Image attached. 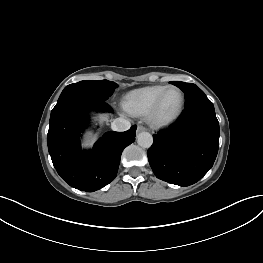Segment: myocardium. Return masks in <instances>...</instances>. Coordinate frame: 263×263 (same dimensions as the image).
Masks as SVG:
<instances>
[{"label": "myocardium", "instance_id": "f54148a6", "mask_svg": "<svg viewBox=\"0 0 263 263\" xmlns=\"http://www.w3.org/2000/svg\"><path fill=\"white\" fill-rule=\"evenodd\" d=\"M171 90H177L181 95V103L178 110L167 118H160L159 111L162 105V102L167 95V93ZM185 106V94L184 92L177 86H168L156 99L153 106L151 107L149 113L147 114L148 123L154 128H164L171 125L175 122L182 114Z\"/></svg>", "mask_w": 263, "mask_h": 263}]
</instances>
